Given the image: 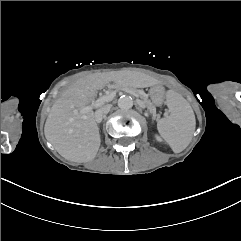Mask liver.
<instances>
[{"instance_id":"liver-1","label":"liver","mask_w":241,"mask_h":241,"mask_svg":"<svg viewBox=\"0 0 241 241\" xmlns=\"http://www.w3.org/2000/svg\"><path fill=\"white\" fill-rule=\"evenodd\" d=\"M122 74L94 73L73 83L55 101L45 123L44 133L57 152L69 161L85 163L93 160L100 148L99 128L93 111L83 113L99 89L119 84ZM151 85V83H148Z\"/></svg>"}]
</instances>
